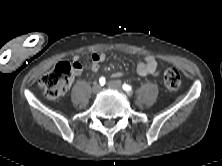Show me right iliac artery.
I'll use <instances>...</instances> for the list:
<instances>
[{
    "instance_id": "obj_1",
    "label": "right iliac artery",
    "mask_w": 222,
    "mask_h": 166,
    "mask_svg": "<svg viewBox=\"0 0 222 166\" xmlns=\"http://www.w3.org/2000/svg\"><path fill=\"white\" fill-rule=\"evenodd\" d=\"M105 82H106V80H105L104 77H101V78L99 79V83H100L102 86L105 84Z\"/></svg>"
}]
</instances>
